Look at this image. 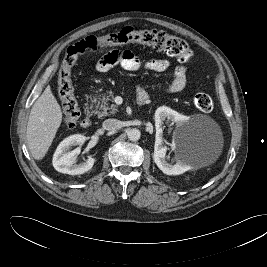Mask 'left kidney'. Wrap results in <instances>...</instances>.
<instances>
[{"label": "left kidney", "mask_w": 267, "mask_h": 267, "mask_svg": "<svg viewBox=\"0 0 267 267\" xmlns=\"http://www.w3.org/2000/svg\"><path fill=\"white\" fill-rule=\"evenodd\" d=\"M155 127L157 134L160 135L163 131V122L168 119L175 122L178 126H182L188 122L189 118L171 108L162 106L155 111ZM166 147L162 146L161 140L157 139L154 148L153 160L157 167L166 175H180L192 169L190 164L182 160H178L175 164L168 163L165 159Z\"/></svg>", "instance_id": "obj_1"}]
</instances>
